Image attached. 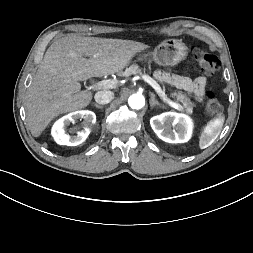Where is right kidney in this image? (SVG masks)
<instances>
[{
  "mask_svg": "<svg viewBox=\"0 0 253 253\" xmlns=\"http://www.w3.org/2000/svg\"><path fill=\"white\" fill-rule=\"evenodd\" d=\"M83 119L82 129L77 132V135H69L66 128L70 122H75ZM96 122V115L89 110L72 112L59 120H57L52 127V136L60 145L76 146L86 140L90 131L91 125Z\"/></svg>",
  "mask_w": 253,
  "mask_h": 253,
  "instance_id": "right-kidney-1",
  "label": "right kidney"
}]
</instances>
